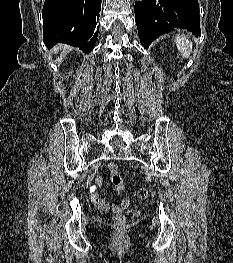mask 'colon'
I'll list each match as a JSON object with an SVG mask.
<instances>
[{"label":"colon","instance_id":"1","mask_svg":"<svg viewBox=\"0 0 233 263\" xmlns=\"http://www.w3.org/2000/svg\"><path fill=\"white\" fill-rule=\"evenodd\" d=\"M110 170L112 172V181H113V184L120 190H123L124 189V184L120 178V176L118 175V172H117V167L115 165H112L110 167ZM89 186H90V190L91 191H96L97 190V187H96V183L95 182H90L89 183ZM137 197L139 199H142V200H145L149 197V191L145 188H141L137 191ZM92 198L94 197L93 195L91 196ZM112 223L113 225L116 227V228H122L124 227L125 223H126V219L125 217L122 215V214H115L113 217H112Z\"/></svg>","mask_w":233,"mask_h":263}]
</instances>
